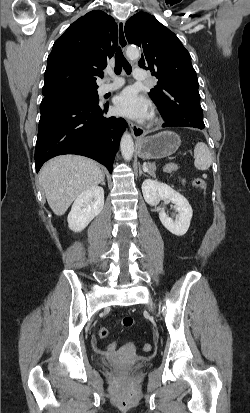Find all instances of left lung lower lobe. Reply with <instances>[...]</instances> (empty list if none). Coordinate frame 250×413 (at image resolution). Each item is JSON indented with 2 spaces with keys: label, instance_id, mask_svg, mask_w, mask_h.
Masks as SVG:
<instances>
[{
  "label": "left lung lower lobe",
  "instance_id": "1",
  "mask_svg": "<svg viewBox=\"0 0 250 413\" xmlns=\"http://www.w3.org/2000/svg\"><path fill=\"white\" fill-rule=\"evenodd\" d=\"M173 99L155 104L160 108L161 115L165 121L162 127H196L203 129V111L200 106V95L198 91L187 90L182 93L173 94Z\"/></svg>",
  "mask_w": 250,
  "mask_h": 413
}]
</instances>
